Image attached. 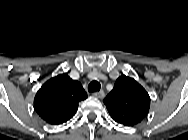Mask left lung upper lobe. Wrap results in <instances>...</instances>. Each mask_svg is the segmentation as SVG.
I'll use <instances>...</instances> for the list:
<instances>
[{
  "label": "left lung upper lobe",
  "instance_id": "5c2ea615",
  "mask_svg": "<svg viewBox=\"0 0 188 140\" xmlns=\"http://www.w3.org/2000/svg\"><path fill=\"white\" fill-rule=\"evenodd\" d=\"M103 102L113 120L124 126L140 123L150 108V97L146 90L125 75L116 80L113 90Z\"/></svg>",
  "mask_w": 188,
  "mask_h": 140
}]
</instances>
